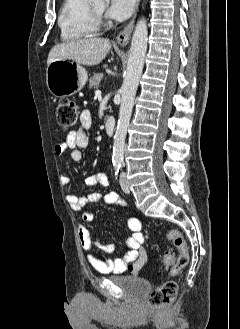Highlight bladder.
<instances>
[{
    "label": "bladder",
    "mask_w": 240,
    "mask_h": 329,
    "mask_svg": "<svg viewBox=\"0 0 240 329\" xmlns=\"http://www.w3.org/2000/svg\"><path fill=\"white\" fill-rule=\"evenodd\" d=\"M109 279L132 297L141 298L150 290L149 281L141 276L117 275Z\"/></svg>",
    "instance_id": "31cf9c89"
}]
</instances>
